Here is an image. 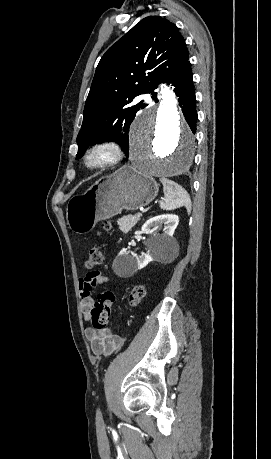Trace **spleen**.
Instances as JSON below:
<instances>
[{
	"label": "spleen",
	"instance_id": "obj_1",
	"mask_svg": "<svg viewBox=\"0 0 271 459\" xmlns=\"http://www.w3.org/2000/svg\"><path fill=\"white\" fill-rule=\"evenodd\" d=\"M160 182L163 184L164 198L160 202L161 210H175V208H181L185 206L187 208L188 214L191 212V200H184L179 194V186L172 182V180H167V178H160Z\"/></svg>",
	"mask_w": 271,
	"mask_h": 459
}]
</instances>
